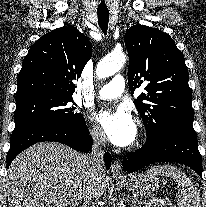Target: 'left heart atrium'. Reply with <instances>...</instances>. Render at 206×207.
I'll return each mask as SVG.
<instances>
[{"label":"left heart atrium","mask_w":206,"mask_h":207,"mask_svg":"<svg viewBox=\"0 0 206 207\" xmlns=\"http://www.w3.org/2000/svg\"><path fill=\"white\" fill-rule=\"evenodd\" d=\"M96 119L113 144L127 146L134 141L136 123L128 106L121 104L114 109L101 110Z\"/></svg>","instance_id":"39dd6f15"}]
</instances>
